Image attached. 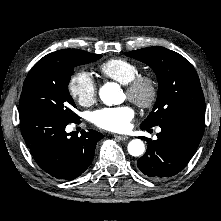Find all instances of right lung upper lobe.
<instances>
[{
	"label": "right lung upper lobe",
	"mask_w": 221,
	"mask_h": 221,
	"mask_svg": "<svg viewBox=\"0 0 221 221\" xmlns=\"http://www.w3.org/2000/svg\"><path fill=\"white\" fill-rule=\"evenodd\" d=\"M73 49H64V50H59L53 53L48 54L47 56H52V57H56V56H62L68 52H70Z\"/></svg>",
	"instance_id": "cb5924a9"
}]
</instances>
